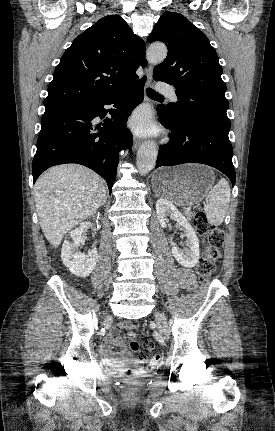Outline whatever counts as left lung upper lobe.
<instances>
[{
	"label": "left lung upper lobe",
	"instance_id": "left-lung-upper-lobe-1",
	"mask_svg": "<svg viewBox=\"0 0 275 431\" xmlns=\"http://www.w3.org/2000/svg\"><path fill=\"white\" fill-rule=\"evenodd\" d=\"M148 41H162L166 59L154 68L153 78L173 85L177 103L159 105L169 118L230 128L222 67L208 38L183 15L165 12Z\"/></svg>",
	"mask_w": 275,
	"mask_h": 431
}]
</instances>
